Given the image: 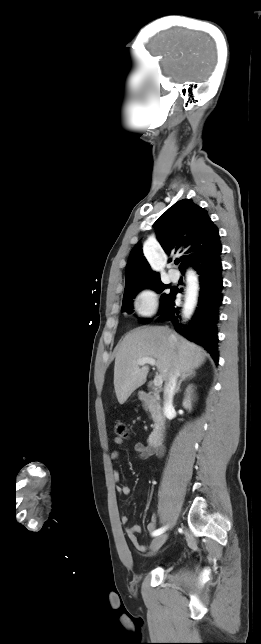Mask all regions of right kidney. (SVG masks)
Listing matches in <instances>:
<instances>
[{
  "mask_svg": "<svg viewBox=\"0 0 261 644\" xmlns=\"http://www.w3.org/2000/svg\"><path fill=\"white\" fill-rule=\"evenodd\" d=\"M186 391H187V394H189L191 391V386H189ZM183 406L186 409H189V410L191 409V401L189 396L184 400Z\"/></svg>",
  "mask_w": 261,
  "mask_h": 644,
  "instance_id": "1",
  "label": "right kidney"
}]
</instances>
